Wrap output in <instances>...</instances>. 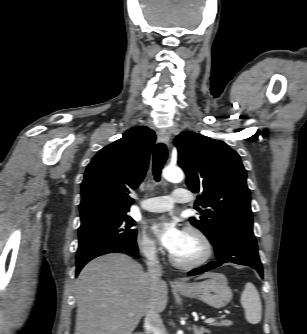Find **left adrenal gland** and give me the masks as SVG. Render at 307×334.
I'll return each mask as SVG.
<instances>
[{
    "label": "left adrenal gland",
    "mask_w": 307,
    "mask_h": 334,
    "mask_svg": "<svg viewBox=\"0 0 307 334\" xmlns=\"http://www.w3.org/2000/svg\"><path fill=\"white\" fill-rule=\"evenodd\" d=\"M194 334H203V333H210V331L204 327L198 328L196 325H193Z\"/></svg>",
    "instance_id": "a2214340"
}]
</instances>
